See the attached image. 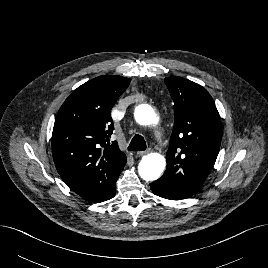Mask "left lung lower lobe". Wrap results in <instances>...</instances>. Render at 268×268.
I'll return each mask as SVG.
<instances>
[{
    "label": "left lung lower lobe",
    "instance_id": "obj_1",
    "mask_svg": "<svg viewBox=\"0 0 268 268\" xmlns=\"http://www.w3.org/2000/svg\"><path fill=\"white\" fill-rule=\"evenodd\" d=\"M151 190L152 192L157 195L160 196L162 198H166V199H170V200H181V199H185L187 198V196L179 194L175 191H172L166 187H163L161 185L156 184L155 182H153L151 185Z\"/></svg>",
    "mask_w": 268,
    "mask_h": 268
}]
</instances>
